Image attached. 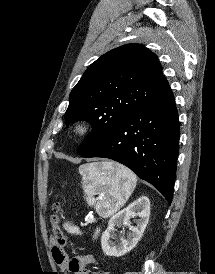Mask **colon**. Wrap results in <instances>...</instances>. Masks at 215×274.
I'll list each match as a JSON object with an SVG mask.
<instances>
[{"mask_svg": "<svg viewBox=\"0 0 215 274\" xmlns=\"http://www.w3.org/2000/svg\"><path fill=\"white\" fill-rule=\"evenodd\" d=\"M54 213L51 216V224H52V237L51 240L55 243L64 246L66 243V237L63 234L61 229V214H62V204L60 201H56L53 205ZM104 274H108L104 272Z\"/></svg>", "mask_w": 215, "mask_h": 274, "instance_id": "1", "label": "colon"}]
</instances>
